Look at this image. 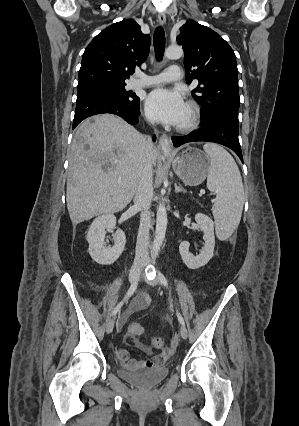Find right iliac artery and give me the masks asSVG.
<instances>
[{
    "instance_id": "1",
    "label": "right iliac artery",
    "mask_w": 299,
    "mask_h": 426,
    "mask_svg": "<svg viewBox=\"0 0 299 426\" xmlns=\"http://www.w3.org/2000/svg\"><path fill=\"white\" fill-rule=\"evenodd\" d=\"M137 285L138 283L135 282L133 283L130 288L128 289L124 299L114 308L112 315H116L117 312L121 309V307L123 306L124 302L128 301V299L134 294L135 290L137 289Z\"/></svg>"
}]
</instances>
